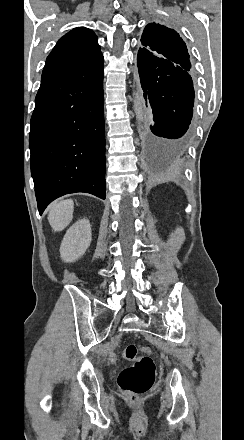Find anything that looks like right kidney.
Here are the masks:
<instances>
[{
  "label": "right kidney",
  "mask_w": 244,
  "mask_h": 440,
  "mask_svg": "<svg viewBox=\"0 0 244 440\" xmlns=\"http://www.w3.org/2000/svg\"><path fill=\"white\" fill-rule=\"evenodd\" d=\"M91 244V226L87 218L75 222L67 230L60 246V258L63 262H76Z\"/></svg>",
  "instance_id": "obj_1"
}]
</instances>
